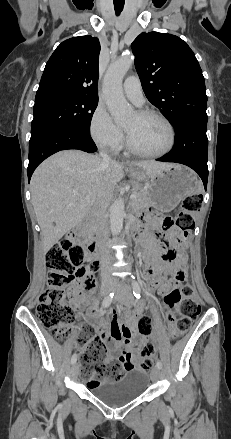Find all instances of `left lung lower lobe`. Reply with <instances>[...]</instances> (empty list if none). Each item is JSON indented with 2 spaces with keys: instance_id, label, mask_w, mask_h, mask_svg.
Segmentation results:
<instances>
[{
  "instance_id": "1",
  "label": "left lung lower lobe",
  "mask_w": 231,
  "mask_h": 439,
  "mask_svg": "<svg viewBox=\"0 0 231 439\" xmlns=\"http://www.w3.org/2000/svg\"><path fill=\"white\" fill-rule=\"evenodd\" d=\"M207 115H193L185 118L175 129V143L172 150L158 161L176 162L189 166L207 187L208 139Z\"/></svg>"
}]
</instances>
